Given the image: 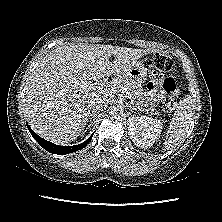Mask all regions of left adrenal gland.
<instances>
[{
	"instance_id": "a2214340",
	"label": "left adrenal gland",
	"mask_w": 222,
	"mask_h": 222,
	"mask_svg": "<svg viewBox=\"0 0 222 222\" xmlns=\"http://www.w3.org/2000/svg\"><path fill=\"white\" fill-rule=\"evenodd\" d=\"M127 107L130 108L131 110H136V108L132 106L131 104H127Z\"/></svg>"
}]
</instances>
